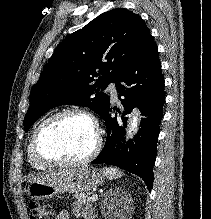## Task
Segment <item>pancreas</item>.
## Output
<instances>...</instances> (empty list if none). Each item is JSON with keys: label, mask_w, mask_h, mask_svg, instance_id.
<instances>
[{"label": "pancreas", "mask_w": 211, "mask_h": 219, "mask_svg": "<svg viewBox=\"0 0 211 219\" xmlns=\"http://www.w3.org/2000/svg\"><path fill=\"white\" fill-rule=\"evenodd\" d=\"M75 198L77 200V203L80 205H86L90 206L93 202V199L89 196V194H76Z\"/></svg>", "instance_id": "pancreas-1"}]
</instances>
